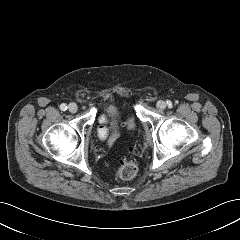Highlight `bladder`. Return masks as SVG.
Returning <instances> with one entry per match:
<instances>
[{"instance_id": "bladder-1", "label": "bladder", "mask_w": 240, "mask_h": 240, "mask_svg": "<svg viewBox=\"0 0 240 240\" xmlns=\"http://www.w3.org/2000/svg\"><path fill=\"white\" fill-rule=\"evenodd\" d=\"M119 125H120L119 117H118V115H115L113 117V121H112V128H113V130L117 131L119 129Z\"/></svg>"}]
</instances>
